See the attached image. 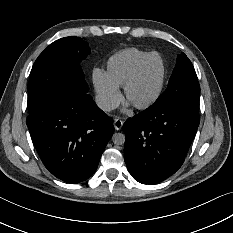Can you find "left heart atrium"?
<instances>
[{"instance_id":"1","label":"left heart atrium","mask_w":233,"mask_h":233,"mask_svg":"<svg viewBox=\"0 0 233 233\" xmlns=\"http://www.w3.org/2000/svg\"><path fill=\"white\" fill-rule=\"evenodd\" d=\"M131 104H132V103H131L130 101H129V102H127V103H126V108L130 107V106H131Z\"/></svg>"}]
</instances>
